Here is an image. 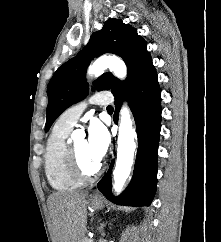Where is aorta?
Returning a JSON list of instances; mask_svg holds the SVG:
<instances>
[{
  "instance_id": "obj_1",
  "label": "aorta",
  "mask_w": 221,
  "mask_h": 242,
  "mask_svg": "<svg viewBox=\"0 0 221 242\" xmlns=\"http://www.w3.org/2000/svg\"><path fill=\"white\" fill-rule=\"evenodd\" d=\"M109 69L119 79H125L127 68L125 63L116 56H102L98 58L88 69L89 77H98ZM119 122L117 160L113 171L115 193L119 194L128 179L131 167L134 162V152L136 150V133L132 127L130 110L127 105L121 109Z\"/></svg>"
}]
</instances>
